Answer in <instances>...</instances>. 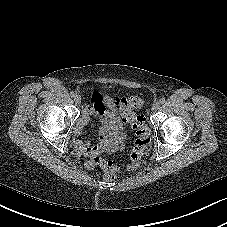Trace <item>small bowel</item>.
Instances as JSON below:
<instances>
[{
    "label": "small bowel",
    "mask_w": 227,
    "mask_h": 227,
    "mask_svg": "<svg viewBox=\"0 0 227 227\" xmlns=\"http://www.w3.org/2000/svg\"><path fill=\"white\" fill-rule=\"evenodd\" d=\"M122 100L117 97L102 95L97 91L92 93V103L84 109L75 127V135L81 136L91 117L94 116L99 123V136L98 141L94 144L83 139H76L74 145L80 154L85 156L94 155L122 141L124 137L121 119ZM109 143H111L110 146H108Z\"/></svg>",
    "instance_id": "obj_1"
}]
</instances>
